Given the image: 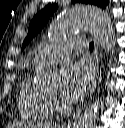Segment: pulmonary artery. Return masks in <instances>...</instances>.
I'll use <instances>...</instances> for the list:
<instances>
[{
  "mask_svg": "<svg viewBox=\"0 0 125 128\" xmlns=\"http://www.w3.org/2000/svg\"><path fill=\"white\" fill-rule=\"evenodd\" d=\"M83 46L84 44L80 37L61 40L38 50L34 55L33 63L39 65L45 62L66 59L72 51L81 49Z\"/></svg>",
  "mask_w": 125,
  "mask_h": 128,
  "instance_id": "e3ab8cb5",
  "label": "pulmonary artery"
}]
</instances>
